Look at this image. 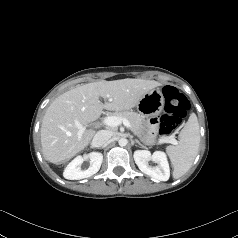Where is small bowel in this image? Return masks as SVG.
Instances as JSON below:
<instances>
[{
  "mask_svg": "<svg viewBox=\"0 0 238 238\" xmlns=\"http://www.w3.org/2000/svg\"><path fill=\"white\" fill-rule=\"evenodd\" d=\"M161 121V116L158 113H153L148 118V123L151 125L152 133H155L156 125Z\"/></svg>",
  "mask_w": 238,
  "mask_h": 238,
  "instance_id": "c3829d8e",
  "label": "small bowel"
}]
</instances>
